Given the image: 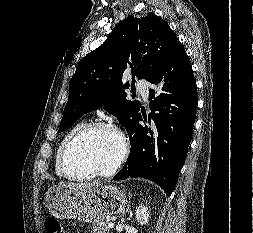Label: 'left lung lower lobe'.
<instances>
[{"label": "left lung lower lobe", "mask_w": 253, "mask_h": 233, "mask_svg": "<svg viewBox=\"0 0 253 233\" xmlns=\"http://www.w3.org/2000/svg\"><path fill=\"white\" fill-rule=\"evenodd\" d=\"M151 83L159 86L149 91L151 113L147 119L139 109L128 131L129 157L113 180L146 178L170 196L187 156L197 108L192 66L180 43ZM142 115L147 121L144 127L139 124Z\"/></svg>", "instance_id": "left-lung-lower-lobe-1"}]
</instances>
